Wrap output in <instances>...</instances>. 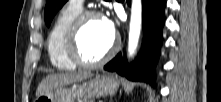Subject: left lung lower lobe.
Instances as JSON below:
<instances>
[{
	"label": "left lung lower lobe",
	"mask_w": 221,
	"mask_h": 102,
	"mask_svg": "<svg viewBox=\"0 0 221 102\" xmlns=\"http://www.w3.org/2000/svg\"><path fill=\"white\" fill-rule=\"evenodd\" d=\"M128 4L130 1L127 0ZM165 0H143L144 39L137 60L127 66L126 60L118 54L104 66L107 71H116L132 81H145L155 87V67L160 54L162 43V27L164 25Z\"/></svg>",
	"instance_id": "left-lung-lower-lobe-1"
}]
</instances>
